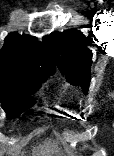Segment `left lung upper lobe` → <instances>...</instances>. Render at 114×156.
Masks as SVG:
<instances>
[{
    "instance_id": "left-lung-upper-lobe-1",
    "label": "left lung upper lobe",
    "mask_w": 114,
    "mask_h": 156,
    "mask_svg": "<svg viewBox=\"0 0 114 156\" xmlns=\"http://www.w3.org/2000/svg\"><path fill=\"white\" fill-rule=\"evenodd\" d=\"M44 44L68 81L81 85L85 94L90 83L92 52L78 30L55 32L44 37Z\"/></svg>"
}]
</instances>
